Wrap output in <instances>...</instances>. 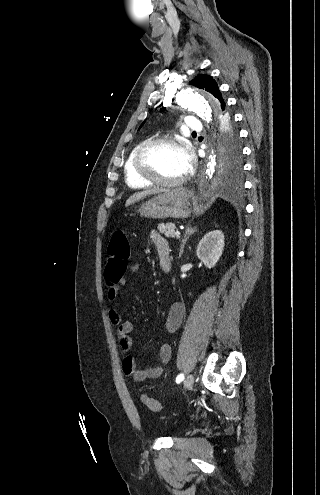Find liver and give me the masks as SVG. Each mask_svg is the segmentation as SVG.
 Listing matches in <instances>:
<instances>
[{
    "label": "liver",
    "mask_w": 320,
    "mask_h": 495,
    "mask_svg": "<svg viewBox=\"0 0 320 495\" xmlns=\"http://www.w3.org/2000/svg\"><path fill=\"white\" fill-rule=\"evenodd\" d=\"M159 192L160 191H158V190H147V191L135 193L127 199L125 206L128 207V206L132 205L133 203L140 201L141 199H143L146 196L153 195V194H156Z\"/></svg>",
    "instance_id": "1"
}]
</instances>
